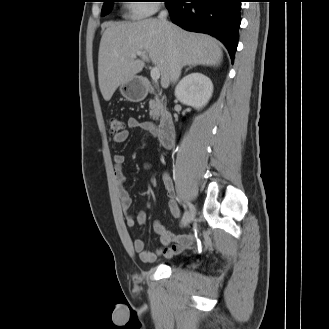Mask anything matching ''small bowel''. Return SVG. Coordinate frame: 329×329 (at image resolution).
Instances as JSON below:
<instances>
[{"label":"small bowel","mask_w":329,"mask_h":329,"mask_svg":"<svg viewBox=\"0 0 329 329\" xmlns=\"http://www.w3.org/2000/svg\"><path fill=\"white\" fill-rule=\"evenodd\" d=\"M128 129L122 133L113 136V141L116 144H123L129 137V130H142L156 135L158 129L151 121H140L135 117H130L127 120ZM114 175L117 187V193L120 200L122 210L125 213L126 223L133 228L136 224L144 225L147 220V213L144 210L138 211L136 214H130L129 209L132 205V197L125 187L126 174L124 170L125 156L116 154L114 156ZM146 168H152L151 164H147ZM162 181L169 195V211L172 217L177 218L180 215L178 203L174 199V186L172 179L167 172L162 174ZM154 232L159 236L160 246L155 251H149L145 248V242L142 239L133 241V250L139 255L143 262H153L159 256L170 258L186 250L194 241L191 234L175 235L168 231L160 222L156 221L153 224Z\"/></svg>","instance_id":"1"}]
</instances>
